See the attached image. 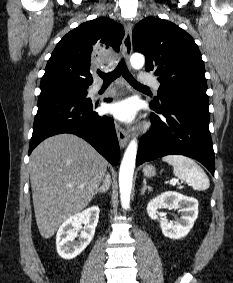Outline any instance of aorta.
Masks as SVG:
<instances>
[{"mask_svg": "<svg viewBox=\"0 0 233 283\" xmlns=\"http://www.w3.org/2000/svg\"><path fill=\"white\" fill-rule=\"evenodd\" d=\"M131 66L135 69H140L143 67L145 63L144 56L135 53L130 58ZM137 140L133 139L129 143L119 170V189H120V199H121V205L123 209L129 208L130 204V195H131V189H132V180H133V174L135 169V163H136V155H137Z\"/></svg>", "mask_w": 233, "mask_h": 283, "instance_id": "762f6f07", "label": "aorta"}]
</instances>
